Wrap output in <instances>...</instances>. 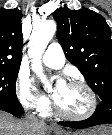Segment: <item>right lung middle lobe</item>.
<instances>
[{
    "mask_svg": "<svg viewBox=\"0 0 112 135\" xmlns=\"http://www.w3.org/2000/svg\"><path fill=\"white\" fill-rule=\"evenodd\" d=\"M19 66L0 63V102L19 103L15 92Z\"/></svg>",
    "mask_w": 112,
    "mask_h": 135,
    "instance_id": "right-lung-middle-lobe-1",
    "label": "right lung middle lobe"
}]
</instances>
